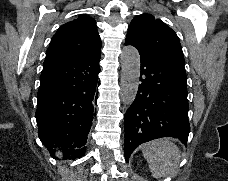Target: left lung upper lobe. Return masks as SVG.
Here are the masks:
<instances>
[{
    "label": "left lung upper lobe",
    "mask_w": 228,
    "mask_h": 181,
    "mask_svg": "<svg viewBox=\"0 0 228 181\" xmlns=\"http://www.w3.org/2000/svg\"><path fill=\"white\" fill-rule=\"evenodd\" d=\"M125 42L140 52L164 57L185 64L179 38L160 19L150 14H141L132 20Z\"/></svg>",
    "instance_id": "5c2ea615"
}]
</instances>
